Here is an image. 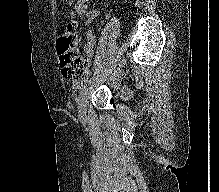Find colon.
Returning a JSON list of instances; mask_svg holds the SVG:
<instances>
[{"label":"colon","mask_w":219,"mask_h":192,"mask_svg":"<svg viewBox=\"0 0 219 192\" xmlns=\"http://www.w3.org/2000/svg\"><path fill=\"white\" fill-rule=\"evenodd\" d=\"M78 35L73 24L68 23L57 40V51L62 75L67 80H77L82 77L86 64L78 48Z\"/></svg>","instance_id":"1"}]
</instances>
